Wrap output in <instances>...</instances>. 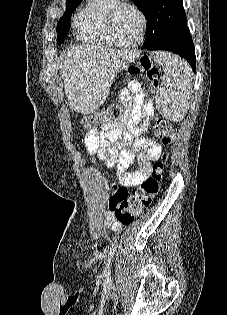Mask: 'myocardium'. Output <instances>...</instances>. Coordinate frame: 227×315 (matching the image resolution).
Returning a JSON list of instances; mask_svg holds the SVG:
<instances>
[{
  "label": "myocardium",
  "mask_w": 227,
  "mask_h": 315,
  "mask_svg": "<svg viewBox=\"0 0 227 315\" xmlns=\"http://www.w3.org/2000/svg\"><path fill=\"white\" fill-rule=\"evenodd\" d=\"M124 7H129L131 9H133L134 11H136V13L139 15L140 20H141V28H140L139 38L137 39L136 42H134L132 44H128V45L120 43L116 39L115 32H114V24H115L116 18L118 16L120 10ZM147 23H148V21H147V17L145 15V13L138 5H136L135 3H132L130 1H127V0H118V2L111 7V9L108 13L107 23H106L108 38L112 42V44L115 46H118L121 48H126V49L136 48V47L141 45V43L143 42V40L145 38Z\"/></svg>",
  "instance_id": "1"
}]
</instances>
